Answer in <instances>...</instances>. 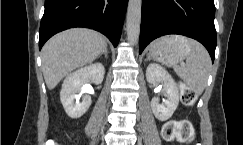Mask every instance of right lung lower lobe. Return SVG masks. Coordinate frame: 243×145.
Here are the masks:
<instances>
[{
    "label": "right lung lower lobe",
    "instance_id": "right-lung-lower-lobe-1",
    "mask_svg": "<svg viewBox=\"0 0 243 145\" xmlns=\"http://www.w3.org/2000/svg\"><path fill=\"white\" fill-rule=\"evenodd\" d=\"M128 0H45L39 49L54 34L86 27L106 35L116 47L121 36Z\"/></svg>",
    "mask_w": 243,
    "mask_h": 145
}]
</instances>
